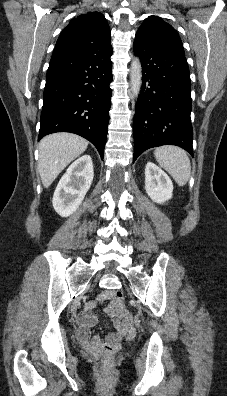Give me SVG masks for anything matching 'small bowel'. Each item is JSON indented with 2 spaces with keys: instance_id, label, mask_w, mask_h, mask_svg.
Masks as SVG:
<instances>
[{
  "instance_id": "obj_1",
  "label": "small bowel",
  "mask_w": 227,
  "mask_h": 396,
  "mask_svg": "<svg viewBox=\"0 0 227 396\" xmlns=\"http://www.w3.org/2000/svg\"><path fill=\"white\" fill-rule=\"evenodd\" d=\"M97 304H106V311L113 318L115 330L108 333L106 340L100 335L90 337V327L97 321V315L94 312ZM78 322V340L83 346L93 350L115 346L122 337L130 339L136 333L131 314L123 303L116 301L115 292L111 290L103 292L94 301L88 302L85 310L79 314Z\"/></svg>"
}]
</instances>
